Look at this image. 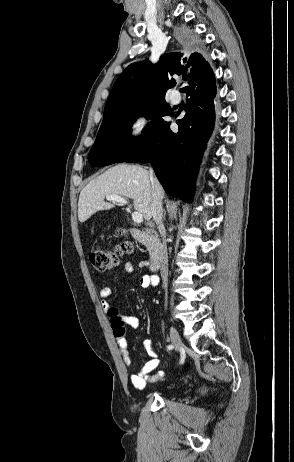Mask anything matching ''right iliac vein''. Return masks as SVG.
<instances>
[{
    "mask_svg": "<svg viewBox=\"0 0 294 462\" xmlns=\"http://www.w3.org/2000/svg\"><path fill=\"white\" fill-rule=\"evenodd\" d=\"M170 338L171 342L175 348L176 351H180L181 348L183 347L182 341L180 339L179 333L177 329L173 326L170 328Z\"/></svg>",
    "mask_w": 294,
    "mask_h": 462,
    "instance_id": "obj_1",
    "label": "right iliac vein"
}]
</instances>
